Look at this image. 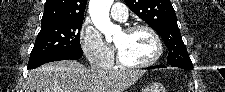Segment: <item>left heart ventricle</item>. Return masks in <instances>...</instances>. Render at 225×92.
<instances>
[{
    "instance_id": "1",
    "label": "left heart ventricle",
    "mask_w": 225,
    "mask_h": 92,
    "mask_svg": "<svg viewBox=\"0 0 225 92\" xmlns=\"http://www.w3.org/2000/svg\"><path fill=\"white\" fill-rule=\"evenodd\" d=\"M115 44L120 57L128 64L143 63L151 59L156 51L152 36L145 30L122 32L115 39Z\"/></svg>"
}]
</instances>
